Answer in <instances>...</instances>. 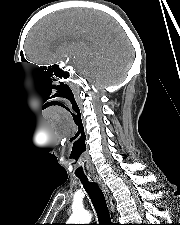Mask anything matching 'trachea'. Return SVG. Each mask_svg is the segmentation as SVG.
I'll use <instances>...</instances> for the list:
<instances>
[{
	"mask_svg": "<svg viewBox=\"0 0 180 225\" xmlns=\"http://www.w3.org/2000/svg\"><path fill=\"white\" fill-rule=\"evenodd\" d=\"M95 208L100 225H113L106 205L104 193L95 182H89L86 176H78Z\"/></svg>",
	"mask_w": 180,
	"mask_h": 225,
	"instance_id": "3493384b",
	"label": "trachea"
}]
</instances>
